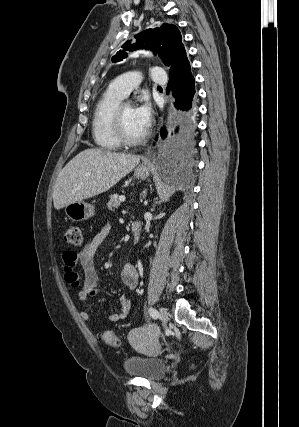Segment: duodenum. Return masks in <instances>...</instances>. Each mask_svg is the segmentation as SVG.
Instances as JSON below:
<instances>
[{
  "label": "duodenum",
  "instance_id": "1",
  "mask_svg": "<svg viewBox=\"0 0 299 427\" xmlns=\"http://www.w3.org/2000/svg\"><path fill=\"white\" fill-rule=\"evenodd\" d=\"M131 231L133 233L134 242L138 243L141 238L142 224L140 222H132L130 224Z\"/></svg>",
  "mask_w": 299,
  "mask_h": 427
}]
</instances>
